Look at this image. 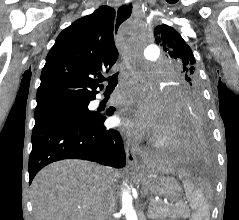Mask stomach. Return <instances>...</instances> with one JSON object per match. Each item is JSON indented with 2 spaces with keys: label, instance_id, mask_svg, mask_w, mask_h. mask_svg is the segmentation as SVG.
I'll return each instance as SVG.
<instances>
[{
  "label": "stomach",
  "instance_id": "1",
  "mask_svg": "<svg viewBox=\"0 0 239 220\" xmlns=\"http://www.w3.org/2000/svg\"><path fill=\"white\" fill-rule=\"evenodd\" d=\"M142 186L149 187L146 192L170 199L179 198L182 194L181 185L173 178H152V183H142Z\"/></svg>",
  "mask_w": 239,
  "mask_h": 220
}]
</instances>
